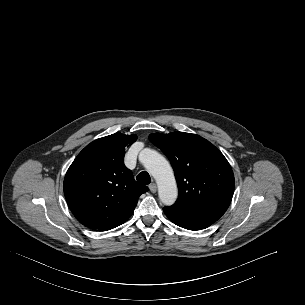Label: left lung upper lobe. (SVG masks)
Listing matches in <instances>:
<instances>
[{"instance_id": "obj_1", "label": "left lung upper lobe", "mask_w": 305, "mask_h": 305, "mask_svg": "<svg viewBox=\"0 0 305 305\" xmlns=\"http://www.w3.org/2000/svg\"><path fill=\"white\" fill-rule=\"evenodd\" d=\"M150 141L168 157L179 197L167 210L186 215H223L234 193V174L224 155L206 139L190 133H154Z\"/></svg>"}]
</instances>
